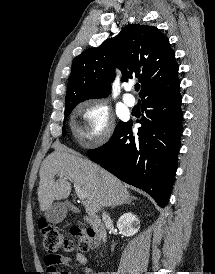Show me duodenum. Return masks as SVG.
<instances>
[{
  "label": "duodenum",
  "mask_w": 215,
  "mask_h": 274,
  "mask_svg": "<svg viewBox=\"0 0 215 274\" xmlns=\"http://www.w3.org/2000/svg\"><path fill=\"white\" fill-rule=\"evenodd\" d=\"M85 221L101 242H106L107 232L104 223L96 216H85Z\"/></svg>",
  "instance_id": "410a0bca"
}]
</instances>
